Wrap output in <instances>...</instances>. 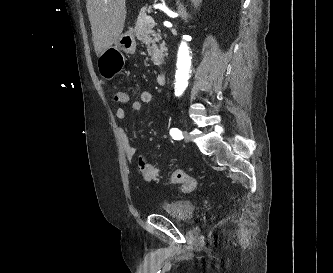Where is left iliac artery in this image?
I'll return each instance as SVG.
<instances>
[{
  "label": "left iliac artery",
  "mask_w": 333,
  "mask_h": 273,
  "mask_svg": "<svg viewBox=\"0 0 333 273\" xmlns=\"http://www.w3.org/2000/svg\"><path fill=\"white\" fill-rule=\"evenodd\" d=\"M170 135L174 140L183 139L182 131H180L178 128H171Z\"/></svg>",
  "instance_id": "obj_1"
}]
</instances>
